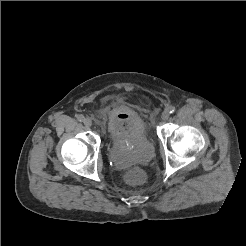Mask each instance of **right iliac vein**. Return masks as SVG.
Here are the masks:
<instances>
[{
    "mask_svg": "<svg viewBox=\"0 0 246 246\" xmlns=\"http://www.w3.org/2000/svg\"><path fill=\"white\" fill-rule=\"evenodd\" d=\"M83 123H84V125L87 126V127L92 126V120H91L90 118H85V119L83 120Z\"/></svg>",
    "mask_w": 246,
    "mask_h": 246,
    "instance_id": "1",
    "label": "right iliac vein"
}]
</instances>
